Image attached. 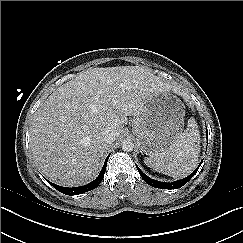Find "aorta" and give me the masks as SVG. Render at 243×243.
<instances>
[{"mask_svg": "<svg viewBox=\"0 0 243 243\" xmlns=\"http://www.w3.org/2000/svg\"><path fill=\"white\" fill-rule=\"evenodd\" d=\"M134 148V143L131 139H125L122 142V150L125 152H131Z\"/></svg>", "mask_w": 243, "mask_h": 243, "instance_id": "obj_1", "label": "aorta"}]
</instances>
